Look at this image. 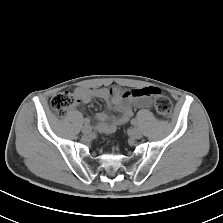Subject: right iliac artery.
Instances as JSON below:
<instances>
[{
    "label": "right iliac artery",
    "mask_w": 223,
    "mask_h": 223,
    "mask_svg": "<svg viewBox=\"0 0 223 223\" xmlns=\"http://www.w3.org/2000/svg\"><path fill=\"white\" fill-rule=\"evenodd\" d=\"M84 124L85 125H88L89 124V121L84 120Z\"/></svg>",
    "instance_id": "obj_1"
}]
</instances>
